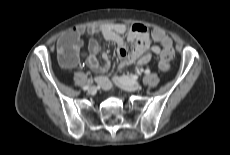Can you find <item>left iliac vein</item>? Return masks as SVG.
<instances>
[{"instance_id": "left-iliac-vein-1", "label": "left iliac vein", "mask_w": 230, "mask_h": 155, "mask_svg": "<svg viewBox=\"0 0 230 155\" xmlns=\"http://www.w3.org/2000/svg\"><path fill=\"white\" fill-rule=\"evenodd\" d=\"M113 82L120 88L126 90V91H136L141 88V85L139 82L126 78V77H113Z\"/></svg>"}]
</instances>
